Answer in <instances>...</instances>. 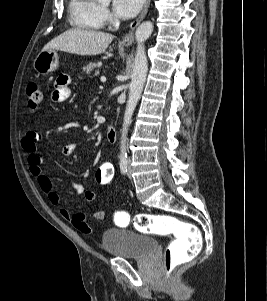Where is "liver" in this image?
Wrapping results in <instances>:
<instances>
[{
	"mask_svg": "<svg viewBox=\"0 0 267 301\" xmlns=\"http://www.w3.org/2000/svg\"><path fill=\"white\" fill-rule=\"evenodd\" d=\"M114 36L93 30L70 29L48 42L42 51L60 50L76 55L103 53Z\"/></svg>",
	"mask_w": 267,
	"mask_h": 301,
	"instance_id": "obj_1",
	"label": "liver"
}]
</instances>
